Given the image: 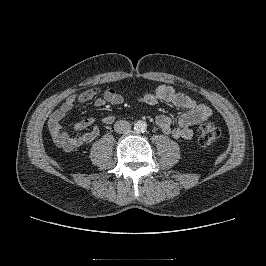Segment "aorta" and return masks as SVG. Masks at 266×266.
Instances as JSON below:
<instances>
[{
  "instance_id": "aorta-1",
  "label": "aorta",
  "mask_w": 266,
  "mask_h": 266,
  "mask_svg": "<svg viewBox=\"0 0 266 266\" xmlns=\"http://www.w3.org/2000/svg\"><path fill=\"white\" fill-rule=\"evenodd\" d=\"M147 129V123L142 120H138L134 123V130L137 132H144Z\"/></svg>"
}]
</instances>
